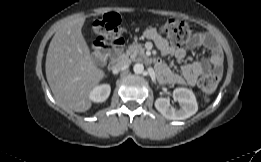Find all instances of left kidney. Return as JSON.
Instances as JSON below:
<instances>
[{
    "label": "left kidney",
    "instance_id": "left-kidney-1",
    "mask_svg": "<svg viewBox=\"0 0 261 162\" xmlns=\"http://www.w3.org/2000/svg\"><path fill=\"white\" fill-rule=\"evenodd\" d=\"M174 97L181 105L180 109L170 107L167 98L160 97L155 101V108L167 119L184 120L198 111L196 97L192 90L178 87L174 90Z\"/></svg>",
    "mask_w": 261,
    "mask_h": 162
}]
</instances>
